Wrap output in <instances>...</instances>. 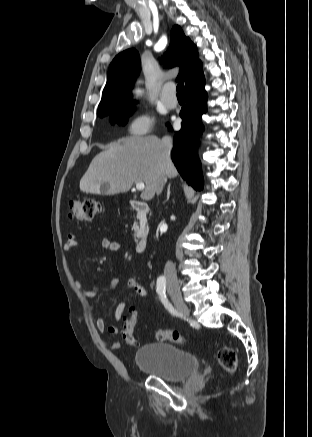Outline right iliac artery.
<instances>
[{
	"label": "right iliac artery",
	"mask_w": 312,
	"mask_h": 437,
	"mask_svg": "<svg viewBox=\"0 0 312 437\" xmlns=\"http://www.w3.org/2000/svg\"><path fill=\"white\" fill-rule=\"evenodd\" d=\"M156 291L159 295L160 300L171 313H174V308L171 303L168 301L166 296V278L164 276H160L157 279Z\"/></svg>",
	"instance_id": "1"
}]
</instances>
